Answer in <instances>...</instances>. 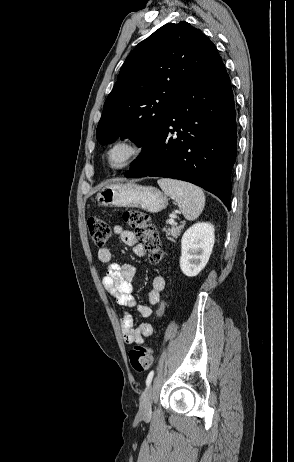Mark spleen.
I'll return each mask as SVG.
<instances>
[{
  "instance_id": "1",
  "label": "spleen",
  "mask_w": 294,
  "mask_h": 462,
  "mask_svg": "<svg viewBox=\"0 0 294 462\" xmlns=\"http://www.w3.org/2000/svg\"><path fill=\"white\" fill-rule=\"evenodd\" d=\"M157 182L164 193L177 202L187 220H194L201 214L205 205V195L202 189L173 179L163 178Z\"/></svg>"
}]
</instances>
